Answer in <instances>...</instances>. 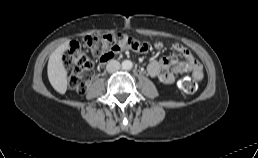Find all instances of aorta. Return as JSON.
I'll list each match as a JSON object with an SVG mask.
<instances>
[{"mask_svg":"<svg viewBox=\"0 0 258 158\" xmlns=\"http://www.w3.org/2000/svg\"><path fill=\"white\" fill-rule=\"evenodd\" d=\"M133 67V63L130 60H124L122 62V68L125 70H130Z\"/></svg>","mask_w":258,"mask_h":158,"instance_id":"1","label":"aorta"}]
</instances>
